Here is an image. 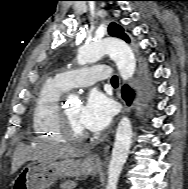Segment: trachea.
I'll list each match as a JSON object with an SVG mask.
<instances>
[{
  "mask_svg": "<svg viewBox=\"0 0 188 189\" xmlns=\"http://www.w3.org/2000/svg\"><path fill=\"white\" fill-rule=\"evenodd\" d=\"M111 83H112V84H117V83H118V78H117V76H113V77H112Z\"/></svg>",
  "mask_w": 188,
  "mask_h": 189,
  "instance_id": "obj_1",
  "label": "trachea"
}]
</instances>
